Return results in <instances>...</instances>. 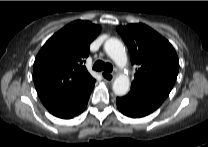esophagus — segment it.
Returning a JSON list of instances; mask_svg holds the SVG:
<instances>
[{
    "mask_svg": "<svg viewBox=\"0 0 208 147\" xmlns=\"http://www.w3.org/2000/svg\"><path fill=\"white\" fill-rule=\"evenodd\" d=\"M101 76L106 82H112L115 78L114 74L105 71L101 72Z\"/></svg>",
    "mask_w": 208,
    "mask_h": 147,
    "instance_id": "obj_1",
    "label": "esophagus"
}]
</instances>
